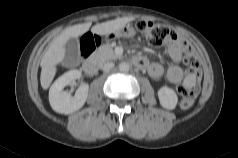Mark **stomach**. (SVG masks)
I'll list each match as a JSON object with an SVG mask.
<instances>
[{"label": "stomach", "mask_w": 238, "mask_h": 158, "mask_svg": "<svg viewBox=\"0 0 238 158\" xmlns=\"http://www.w3.org/2000/svg\"><path fill=\"white\" fill-rule=\"evenodd\" d=\"M135 34H136L135 29L132 26L127 25L117 30L116 32H114L113 36L116 38H120V37L129 38V37H133Z\"/></svg>", "instance_id": "stomach-1"}]
</instances>
